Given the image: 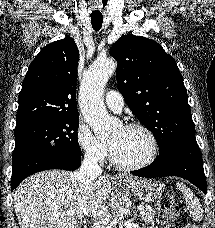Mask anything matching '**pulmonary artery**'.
I'll use <instances>...</instances> for the list:
<instances>
[{
	"instance_id": "pulmonary-artery-1",
	"label": "pulmonary artery",
	"mask_w": 215,
	"mask_h": 228,
	"mask_svg": "<svg viewBox=\"0 0 215 228\" xmlns=\"http://www.w3.org/2000/svg\"><path fill=\"white\" fill-rule=\"evenodd\" d=\"M106 105L113 111H120L124 105V99L115 90L108 91L105 96Z\"/></svg>"
}]
</instances>
